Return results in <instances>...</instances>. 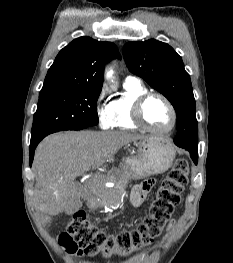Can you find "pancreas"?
Masks as SVG:
<instances>
[{"label":"pancreas","mask_w":233,"mask_h":263,"mask_svg":"<svg viewBox=\"0 0 233 263\" xmlns=\"http://www.w3.org/2000/svg\"><path fill=\"white\" fill-rule=\"evenodd\" d=\"M113 181L116 183L115 188H107L102 186L98 192L101 206H117L121 203L125 191L126 178L122 174H118Z\"/></svg>","instance_id":"1"}]
</instances>
